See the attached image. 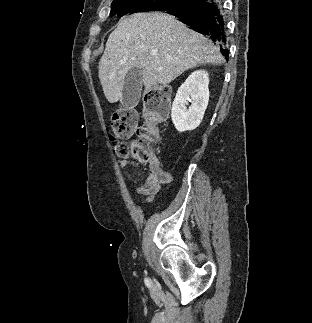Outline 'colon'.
Wrapping results in <instances>:
<instances>
[{
  "instance_id": "colon-1",
  "label": "colon",
  "mask_w": 312,
  "mask_h": 323,
  "mask_svg": "<svg viewBox=\"0 0 312 323\" xmlns=\"http://www.w3.org/2000/svg\"><path fill=\"white\" fill-rule=\"evenodd\" d=\"M168 91L156 86L149 95L150 108L148 110L147 122L143 126L138 125V113L133 107L123 106L111 116L110 138L112 140L123 141L120 151V158H133L142 164H148L152 168H157L159 163L154 161L152 145L159 141L160 133L157 125L164 121L163 116L167 113L166 98ZM136 136L127 148L129 140ZM155 172V171H154Z\"/></svg>"
}]
</instances>
